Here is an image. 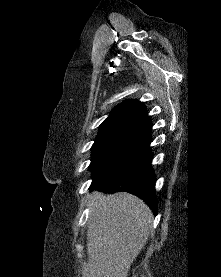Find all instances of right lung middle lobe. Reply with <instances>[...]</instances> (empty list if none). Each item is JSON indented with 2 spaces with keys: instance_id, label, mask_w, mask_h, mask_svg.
Returning <instances> with one entry per match:
<instances>
[{
  "instance_id": "1",
  "label": "right lung middle lobe",
  "mask_w": 221,
  "mask_h": 277,
  "mask_svg": "<svg viewBox=\"0 0 221 277\" xmlns=\"http://www.w3.org/2000/svg\"><path fill=\"white\" fill-rule=\"evenodd\" d=\"M147 132L142 125L128 124L100 127L92 146L89 169L93 179L116 170L145 140Z\"/></svg>"
}]
</instances>
